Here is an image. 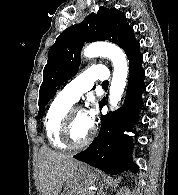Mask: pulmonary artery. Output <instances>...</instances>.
Listing matches in <instances>:
<instances>
[{
	"label": "pulmonary artery",
	"instance_id": "pulmonary-artery-1",
	"mask_svg": "<svg viewBox=\"0 0 178 195\" xmlns=\"http://www.w3.org/2000/svg\"><path fill=\"white\" fill-rule=\"evenodd\" d=\"M107 77L108 70L106 66L94 65L67 83L60 93L64 98L75 103L85 92L92 88L95 81H106Z\"/></svg>",
	"mask_w": 178,
	"mask_h": 195
}]
</instances>
